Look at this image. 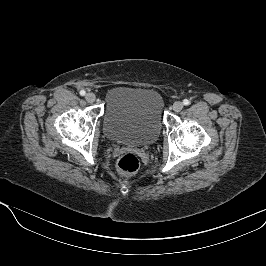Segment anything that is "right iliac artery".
<instances>
[{"label":"right iliac artery","mask_w":266,"mask_h":266,"mask_svg":"<svg viewBox=\"0 0 266 266\" xmlns=\"http://www.w3.org/2000/svg\"><path fill=\"white\" fill-rule=\"evenodd\" d=\"M85 94H86V92H85L84 90H81V91H80V95H81V96H84Z\"/></svg>","instance_id":"1"}]
</instances>
